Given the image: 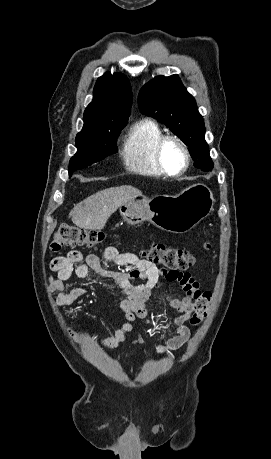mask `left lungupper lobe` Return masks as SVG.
Instances as JSON below:
<instances>
[{"instance_id": "left-lung-upper-lobe-1", "label": "left lung upper lobe", "mask_w": 271, "mask_h": 459, "mask_svg": "<svg viewBox=\"0 0 271 459\" xmlns=\"http://www.w3.org/2000/svg\"><path fill=\"white\" fill-rule=\"evenodd\" d=\"M139 109L165 124L189 148L194 166L203 171L213 168L204 139V121L196 102L177 75L158 76L144 85L138 96Z\"/></svg>"}]
</instances>
